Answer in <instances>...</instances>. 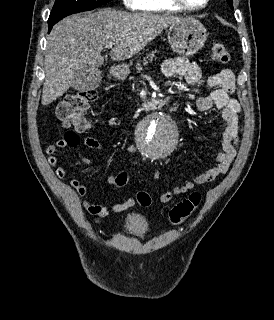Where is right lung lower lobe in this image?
Wrapping results in <instances>:
<instances>
[{
	"instance_id": "98d812e1",
	"label": "right lung lower lobe",
	"mask_w": 274,
	"mask_h": 320,
	"mask_svg": "<svg viewBox=\"0 0 274 320\" xmlns=\"http://www.w3.org/2000/svg\"><path fill=\"white\" fill-rule=\"evenodd\" d=\"M55 24H56V23H55ZM55 24H53V23L48 24V28H49L48 33H50V31H51L52 27H53Z\"/></svg>"
}]
</instances>
